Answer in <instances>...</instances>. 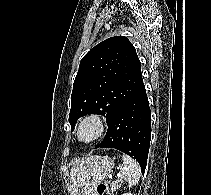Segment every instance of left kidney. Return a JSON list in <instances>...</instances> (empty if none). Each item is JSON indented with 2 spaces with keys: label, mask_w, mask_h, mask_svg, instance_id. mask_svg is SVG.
Masks as SVG:
<instances>
[{
  "label": "left kidney",
  "mask_w": 211,
  "mask_h": 195,
  "mask_svg": "<svg viewBox=\"0 0 211 195\" xmlns=\"http://www.w3.org/2000/svg\"><path fill=\"white\" fill-rule=\"evenodd\" d=\"M122 195H134V194H131V193H124Z\"/></svg>",
  "instance_id": "5707ae66"
}]
</instances>
